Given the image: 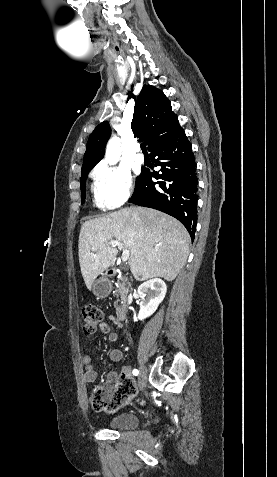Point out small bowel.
<instances>
[{
    "label": "small bowel",
    "mask_w": 277,
    "mask_h": 477,
    "mask_svg": "<svg viewBox=\"0 0 277 477\" xmlns=\"http://www.w3.org/2000/svg\"><path fill=\"white\" fill-rule=\"evenodd\" d=\"M108 322L115 325L116 328H122V323L116 319L114 316L110 315L107 317ZM99 328L101 331L107 334V338L109 342L115 343L118 341V335L115 332H111L107 323H100ZM110 360L113 362H119L123 358V352L120 349H113L110 351L109 354ZM83 364H84V381L87 383L94 382L97 379L98 372L95 369L94 365L92 364V359L90 355H85L83 357ZM109 383H116L121 380H130L129 378V368L124 367L122 369V373L118 376L115 372H110L107 376ZM131 381V380H130Z\"/></svg>",
    "instance_id": "1"
}]
</instances>
